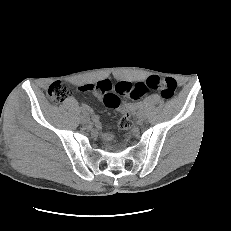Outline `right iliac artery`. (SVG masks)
<instances>
[{
  "label": "right iliac artery",
  "instance_id": "1",
  "mask_svg": "<svg viewBox=\"0 0 231 231\" xmlns=\"http://www.w3.org/2000/svg\"><path fill=\"white\" fill-rule=\"evenodd\" d=\"M80 110L83 112V113H86L88 111V108L86 106H82L80 107Z\"/></svg>",
  "mask_w": 231,
  "mask_h": 231
}]
</instances>
